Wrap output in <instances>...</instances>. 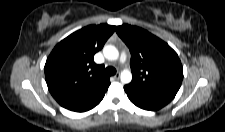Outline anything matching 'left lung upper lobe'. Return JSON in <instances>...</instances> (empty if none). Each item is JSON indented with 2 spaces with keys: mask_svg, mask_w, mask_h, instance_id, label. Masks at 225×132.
Returning a JSON list of instances; mask_svg holds the SVG:
<instances>
[{
  "mask_svg": "<svg viewBox=\"0 0 225 132\" xmlns=\"http://www.w3.org/2000/svg\"><path fill=\"white\" fill-rule=\"evenodd\" d=\"M129 47L132 81L127 86L143 94L174 98L182 79L183 67L177 53L148 31L128 24L116 27Z\"/></svg>",
  "mask_w": 225,
  "mask_h": 132,
  "instance_id": "obj_1",
  "label": "left lung upper lobe"
}]
</instances>
